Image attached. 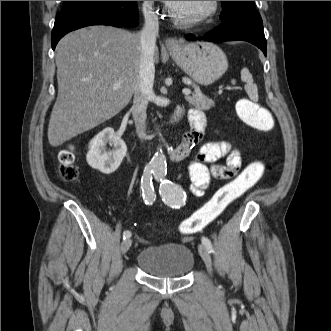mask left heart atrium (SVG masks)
<instances>
[{
  "instance_id": "1",
  "label": "left heart atrium",
  "mask_w": 331,
  "mask_h": 331,
  "mask_svg": "<svg viewBox=\"0 0 331 331\" xmlns=\"http://www.w3.org/2000/svg\"><path fill=\"white\" fill-rule=\"evenodd\" d=\"M166 4L168 5H172L173 3H175L176 1H164Z\"/></svg>"
}]
</instances>
